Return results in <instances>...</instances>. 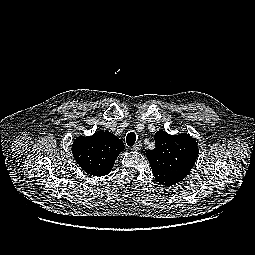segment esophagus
<instances>
[{
    "instance_id": "esophagus-1",
    "label": "esophagus",
    "mask_w": 255,
    "mask_h": 255,
    "mask_svg": "<svg viewBox=\"0 0 255 255\" xmlns=\"http://www.w3.org/2000/svg\"><path fill=\"white\" fill-rule=\"evenodd\" d=\"M142 148V143L140 141L136 142L135 145L132 147L133 150L138 151Z\"/></svg>"
}]
</instances>
